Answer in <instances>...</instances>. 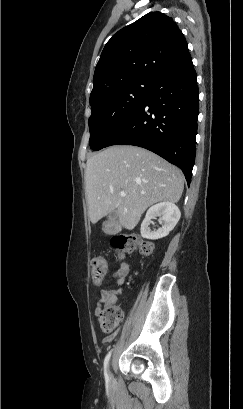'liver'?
I'll return each instance as SVG.
<instances>
[{"instance_id": "obj_1", "label": "liver", "mask_w": 243, "mask_h": 409, "mask_svg": "<svg viewBox=\"0 0 243 409\" xmlns=\"http://www.w3.org/2000/svg\"><path fill=\"white\" fill-rule=\"evenodd\" d=\"M85 184L93 224L116 212L120 224L133 230L151 205L180 200L184 176L178 167L146 149L116 145L88 158Z\"/></svg>"}]
</instances>
